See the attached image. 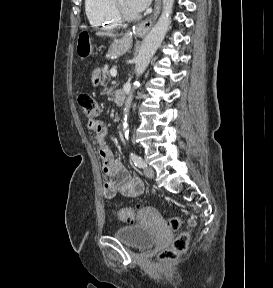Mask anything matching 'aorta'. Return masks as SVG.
Returning a JSON list of instances; mask_svg holds the SVG:
<instances>
[{"label": "aorta", "instance_id": "762f6f07", "mask_svg": "<svg viewBox=\"0 0 273 288\" xmlns=\"http://www.w3.org/2000/svg\"><path fill=\"white\" fill-rule=\"evenodd\" d=\"M174 0H162V13L150 30L148 35L143 40L139 53L136 58V65H135V73L136 78L138 79L148 67L151 58L155 54L156 50L164 40V37L167 33L169 28L171 14L173 10ZM138 81L136 80L133 83V90L136 88ZM133 100V94L131 93L126 101L124 107V119H123V131L126 137H128V123H127V115Z\"/></svg>", "mask_w": 273, "mask_h": 288}]
</instances>
